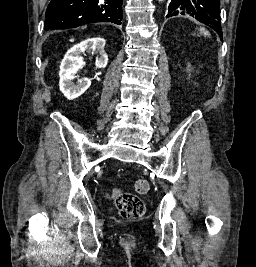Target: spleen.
<instances>
[{
	"label": "spleen",
	"instance_id": "1",
	"mask_svg": "<svg viewBox=\"0 0 256 267\" xmlns=\"http://www.w3.org/2000/svg\"><path fill=\"white\" fill-rule=\"evenodd\" d=\"M198 32H200L201 36H211V34H209L205 28H198Z\"/></svg>",
	"mask_w": 256,
	"mask_h": 267
}]
</instances>
